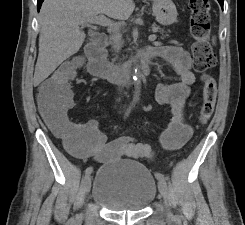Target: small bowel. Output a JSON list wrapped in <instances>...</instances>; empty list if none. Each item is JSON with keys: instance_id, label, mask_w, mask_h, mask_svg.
I'll return each mask as SVG.
<instances>
[{"instance_id": "1", "label": "small bowel", "mask_w": 245, "mask_h": 225, "mask_svg": "<svg viewBox=\"0 0 245 225\" xmlns=\"http://www.w3.org/2000/svg\"><path fill=\"white\" fill-rule=\"evenodd\" d=\"M145 52H152L154 58L168 62L172 71L179 78L178 83L159 85L155 95L159 104L169 105L172 110L171 121L160 136V143L166 150L175 151L182 148L192 135V126L186 121L184 113L191 85L196 79L191 69L192 59L188 51L178 46L158 45ZM77 64L81 65L82 61L79 60ZM69 67L70 62L68 61H63L59 65V69L62 70L69 69ZM36 97L38 106L46 118H52L61 125L76 129L75 144L70 149L75 157L83 160L93 159L102 164L121 158L149 159L152 157L151 146L144 141L124 136L108 139L96 120L67 121L63 113L74 107L72 89H70L69 96L61 102L59 109H54L47 104L40 87H38Z\"/></svg>"}]
</instances>
